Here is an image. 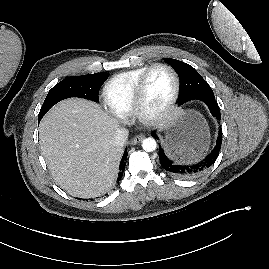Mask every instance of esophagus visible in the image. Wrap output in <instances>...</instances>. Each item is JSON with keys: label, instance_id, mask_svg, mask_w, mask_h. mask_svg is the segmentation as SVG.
I'll list each match as a JSON object with an SVG mask.
<instances>
[{"label": "esophagus", "instance_id": "34e87169", "mask_svg": "<svg viewBox=\"0 0 269 269\" xmlns=\"http://www.w3.org/2000/svg\"><path fill=\"white\" fill-rule=\"evenodd\" d=\"M145 138L144 135L140 134V135H136L135 137H133L130 141V143L132 145H136L137 143L141 142L143 139Z\"/></svg>", "mask_w": 269, "mask_h": 269}]
</instances>
